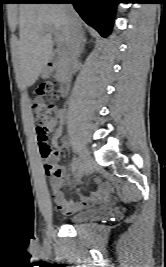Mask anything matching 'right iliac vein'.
<instances>
[{
  "instance_id": "63e3f726",
  "label": "right iliac vein",
  "mask_w": 166,
  "mask_h": 267,
  "mask_svg": "<svg viewBox=\"0 0 166 267\" xmlns=\"http://www.w3.org/2000/svg\"><path fill=\"white\" fill-rule=\"evenodd\" d=\"M79 158L81 174L89 173L92 169L93 160L84 147H81L79 150Z\"/></svg>"
}]
</instances>
